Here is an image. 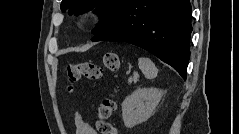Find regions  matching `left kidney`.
I'll return each mask as SVG.
<instances>
[{
    "label": "left kidney",
    "instance_id": "5707ae66",
    "mask_svg": "<svg viewBox=\"0 0 239 134\" xmlns=\"http://www.w3.org/2000/svg\"><path fill=\"white\" fill-rule=\"evenodd\" d=\"M163 94L164 91L158 88H139L127 96L122 103L124 125L132 128L147 121L154 113Z\"/></svg>",
    "mask_w": 239,
    "mask_h": 134
}]
</instances>
